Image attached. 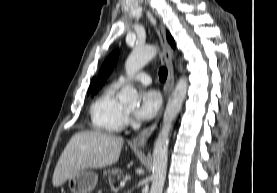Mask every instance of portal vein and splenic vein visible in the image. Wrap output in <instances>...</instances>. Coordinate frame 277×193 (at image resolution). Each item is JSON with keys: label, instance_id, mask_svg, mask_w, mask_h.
Segmentation results:
<instances>
[{"label": "portal vein and splenic vein", "instance_id": "obj_1", "mask_svg": "<svg viewBox=\"0 0 277 193\" xmlns=\"http://www.w3.org/2000/svg\"><path fill=\"white\" fill-rule=\"evenodd\" d=\"M125 184H126V181H125V180H122V181L120 182V186H125Z\"/></svg>", "mask_w": 277, "mask_h": 193}]
</instances>
